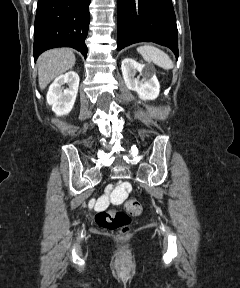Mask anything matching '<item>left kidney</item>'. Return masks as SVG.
<instances>
[{
  "label": "left kidney",
  "mask_w": 240,
  "mask_h": 288,
  "mask_svg": "<svg viewBox=\"0 0 240 288\" xmlns=\"http://www.w3.org/2000/svg\"><path fill=\"white\" fill-rule=\"evenodd\" d=\"M124 82L129 90L136 91L142 100H154L160 92V84L151 67L136 62L131 58H125L121 65ZM139 72L142 79L136 78Z\"/></svg>",
  "instance_id": "obj_1"
}]
</instances>
